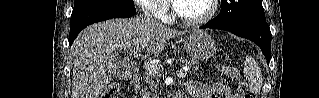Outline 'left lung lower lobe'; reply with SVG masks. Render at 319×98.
Segmentation results:
<instances>
[{"label":"left lung lower lobe","mask_w":319,"mask_h":98,"mask_svg":"<svg viewBox=\"0 0 319 98\" xmlns=\"http://www.w3.org/2000/svg\"><path fill=\"white\" fill-rule=\"evenodd\" d=\"M200 28L226 30L239 37L247 38L253 41L261 48L264 56L267 59V63L269 64L271 50V32L266 21H259L243 26H213L207 23L205 26H202Z\"/></svg>","instance_id":"0a47b994"}]
</instances>
